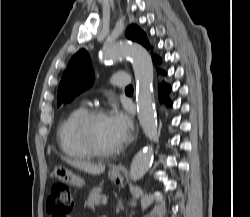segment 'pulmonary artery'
Wrapping results in <instances>:
<instances>
[{"instance_id": "obj_1", "label": "pulmonary artery", "mask_w": 250, "mask_h": 217, "mask_svg": "<svg viewBox=\"0 0 250 217\" xmlns=\"http://www.w3.org/2000/svg\"><path fill=\"white\" fill-rule=\"evenodd\" d=\"M130 83L129 76L126 73H115L112 75L111 84L118 88H125Z\"/></svg>"}]
</instances>
